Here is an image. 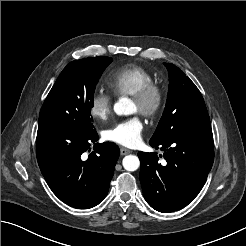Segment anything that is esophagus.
Returning <instances> with one entry per match:
<instances>
[{
    "label": "esophagus",
    "mask_w": 246,
    "mask_h": 246,
    "mask_svg": "<svg viewBox=\"0 0 246 246\" xmlns=\"http://www.w3.org/2000/svg\"><path fill=\"white\" fill-rule=\"evenodd\" d=\"M131 151L129 150V149H126V148H124V147H121L120 148V154L122 155V156H124V155H127V154H129Z\"/></svg>",
    "instance_id": "obj_1"
}]
</instances>
